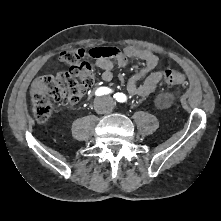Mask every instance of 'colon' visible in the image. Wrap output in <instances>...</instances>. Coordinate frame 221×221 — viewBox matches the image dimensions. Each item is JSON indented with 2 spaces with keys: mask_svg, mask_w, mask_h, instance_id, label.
Instances as JSON below:
<instances>
[{
  "mask_svg": "<svg viewBox=\"0 0 221 221\" xmlns=\"http://www.w3.org/2000/svg\"><path fill=\"white\" fill-rule=\"evenodd\" d=\"M110 53L105 47L91 50L77 48L62 52L60 59L67 69L40 76L31 86L30 99L36 121L45 123L50 118L54 102L64 104L77 102L95 81L94 72L86 60L107 56ZM162 79L166 86L186 84V76L174 70H165Z\"/></svg>",
  "mask_w": 221,
  "mask_h": 221,
  "instance_id": "obj_1",
  "label": "colon"
}]
</instances>
